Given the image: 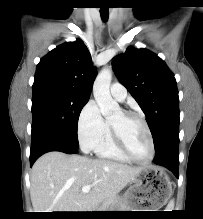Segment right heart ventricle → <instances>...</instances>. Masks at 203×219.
Segmentation results:
<instances>
[{"instance_id":"1","label":"right heart ventricle","mask_w":203,"mask_h":219,"mask_svg":"<svg viewBox=\"0 0 203 219\" xmlns=\"http://www.w3.org/2000/svg\"><path fill=\"white\" fill-rule=\"evenodd\" d=\"M94 151L100 158L110 159L119 162L130 161L122 154V152L116 146L109 122H106L104 135Z\"/></svg>"}]
</instances>
